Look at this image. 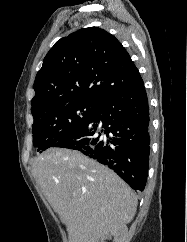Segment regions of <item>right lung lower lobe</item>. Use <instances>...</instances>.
I'll list each match as a JSON object with an SVG mask.
<instances>
[{
  "mask_svg": "<svg viewBox=\"0 0 187 242\" xmlns=\"http://www.w3.org/2000/svg\"><path fill=\"white\" fill-rule=\"evenodd\" d=\"M149 122L142 84L102 101L90 118L51 147L78 150L143 191L149 166Z\"/></svg>",
  "mask_w": 187,
  "mask_h": 242,
  "instance_id": "obj_1",
  "label": "right lung lower lobe"
}]
</instances>
